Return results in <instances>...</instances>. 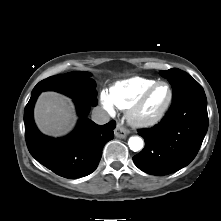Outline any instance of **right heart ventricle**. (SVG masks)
Returning a JSON list of instances; mask_svg holds the SVG:
<instances>
[{
	"mask_svg": "<svg viewBox=\"0 0 221 221\" xmlns=\"http://www.w3.org/2000/svg\"><path fill=\"white\" fill-rule=\"evenodd\" d=\"M155 82V79L131 77L115 82L110 87L108 94L113 105L122 110L129 109L139 96Z\"/></svg>",
	"mask_w": 221,
	"mask_h": 221,
	"instance_id": "obj_1",
	"label": "right heart ventricle"
}]
</instances>
